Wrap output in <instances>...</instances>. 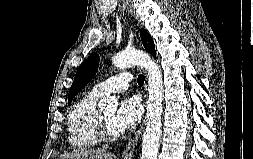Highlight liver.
<instances>
[{
  "instance_id": "obj_1",
  "label": "liver",
  "mask_w": 253,
  "mask_h": 159,
  "mask_svg": "<svg viewBox=\"0 0 253 159\" xmlns=\"http://www.w3.org/2000/svg\"><path fill=\"white\" fill-rule=\"evenodd\" d=\"M60 159H115V156L101 149L79 148L70 153L62 154Z\"/></svg>"
}]
</instances>
